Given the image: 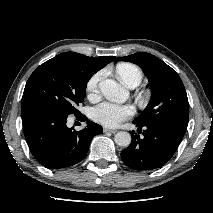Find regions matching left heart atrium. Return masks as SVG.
Segmentation results:
<instances>
[{"instance_id":"1","label":"left heart atrium","mask_w":213,"mask_h":213,"mask_svg":"<svg viewBox=\"0 0 213 213\" xmlns=\"http://www.w3.org/2000/svg\"><path fill=\"white\" fill-rule=\"evenodd\" d=\"M134 111L130 105L102 102L91 111L92 119L106 127H117L132 117Z\"/></svg>"}]
</instances>
